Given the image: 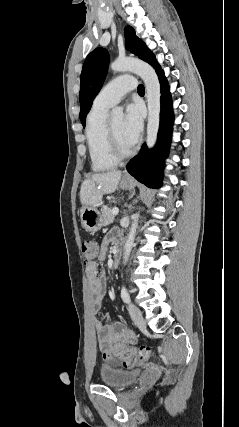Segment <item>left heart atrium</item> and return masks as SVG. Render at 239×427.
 <instances>
[{"label": "left heart atrium", "mask_w": 239, "mask_h": 427, "mask_svg": "<svg viewBox=\"0 0 239 427\" xmlns=\"http://www.w3.org/2000/svg\"><path fill=\"white\" fill-rule=\"evenodd\" d=\"M143 128V115L141 106L138 104H129L126 107L123 120V134L125 139L134 146L140 137Z\"/></svg>", "instance_id": "1"}]
</instances>
